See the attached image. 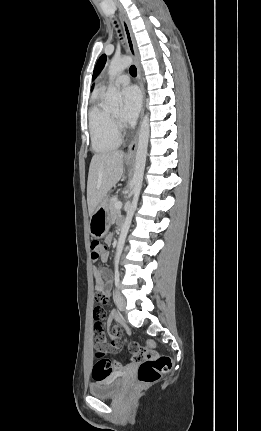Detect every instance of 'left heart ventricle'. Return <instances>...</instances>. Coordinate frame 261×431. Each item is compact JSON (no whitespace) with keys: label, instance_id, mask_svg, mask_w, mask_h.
Here are the masks:
<instances>
[{"label":"left heart ventricle","instance_id":"1","mask_svg":"<svg viewBox=\"0 0 261 431\" xmlns=\"http://www.w3.org/2000/svg\"><path fill=\"white\" fill-rule=\"evenodd\" d=\"M113 115L117 117L119 115V111L118 110L113 111Z\"/></svg>","mask_w":261,"mask_h":431}]
</instances>
